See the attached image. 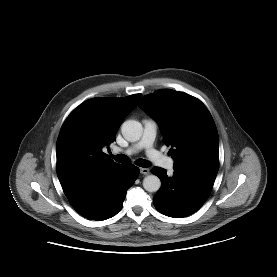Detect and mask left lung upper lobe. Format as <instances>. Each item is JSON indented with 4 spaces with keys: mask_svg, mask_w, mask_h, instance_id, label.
<instances>
[{
    "mask_svg": "<svg viewBox=\"0 0 277 277\" xmlns=\"http://www.w3.org/2000/svg\"><path fill=\"white\" fill-rule=\"evenodd\" d=\"M139 106L155 118L171 145L174 170L217 173L219 137L213 118L197 98L170 89L142 98Z\"/></svg>",
    "mask_w": 277,
    "mask_h": 277,
    "instance_id": "5c2ea615",
    "label": "left lung upper lobe"
}]
</instances>
